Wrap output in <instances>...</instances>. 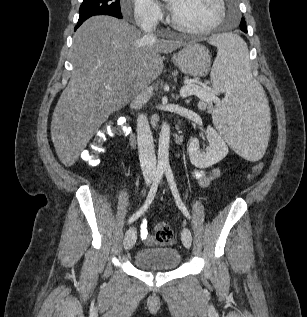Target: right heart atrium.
<instances>
[{"instance_id": "d8ad5b80", "label": "right heart atrium", "mask_w": 307, "mask_h": 317, "mask_svg": "<svg viewBox=\"0 0 307 317\" xmlns=\"http://www.w3.org/2000/svg\"><path fill=\"white\" fill-rule=\"evenodd\" d=\"M135 22L142 27H153L162 18L160 7L153 0H132ZM124 14L128 11L123 9Z\"/></svg>"}]
</instances>
